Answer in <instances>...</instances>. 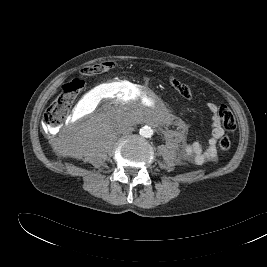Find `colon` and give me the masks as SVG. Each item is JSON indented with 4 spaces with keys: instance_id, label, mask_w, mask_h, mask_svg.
I'll return each mask as SVG.
<instances>
[{
    "instance_id": "obj_1",
    "label": "colon",
    "mask_w": 267,
    "mask_h": 267,
    "mask_svg": "<svg viewBox=\"0 0 267 267\" xmlns=\"http://www.w3.org/2000/svg\"><path fill=\"white\" fill-rule=\"evenodd\" d=\"M108 64H94L86 67L83 70L85 75H95L105 70ZM171 87L184 99H190L192 97L191 88L181 82L180 80L172 77L170 78ZM84 86L83 80L76 78L72 81L64 84L57 98L49 105L45 114L44 122L48 128H53L60 125L68 116L69 109L73 104L75 98L82 90ZM219 114L223 123V126L227 130H234L236 128V120L231 110L221 105L219 108ZM219 149L222 152H227L231 147V141L229 137L223 136L219 140Z\"/></svg>"
}]
</instances>
